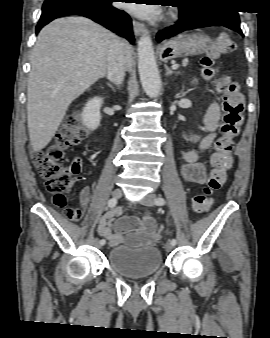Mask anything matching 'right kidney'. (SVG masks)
I'll use <instances>...</instances> for the list:
<instances>
[{"instance_id": "right-kidney-1", "label": "right kidney", "mask_w": 270, "mask_h": 338, "mask_svg": "<svg viewBox=\"0 0 270 338\" xmlns=\"http://www.w3.org/2000/svg\"><path fill=\"white\" fill-rule=\"evenodd\" d=\"M102 102V98L94 97L87 102L83 109L82 120L84 125L90 130H95L100 124V107Z\"/></svg>"}]
</instances>
